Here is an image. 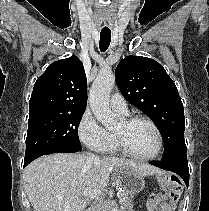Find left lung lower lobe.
I'll use <instances>...</instances> for the list:
<instances>
[{
  "label": "left lung lower lobe",
  "mask_w": 209,
  "mask_h": 211,
  "mask_svg": "<svg viewBox=\"0 0 209 211\" xmlns=\"http://www.w3.org/2000/svg\"><path fill=\"white\" fill-rule=\"evenodd\" d=\"M150 164L161 169L172 171L178 174L185 182L187 188L189 185V168L186 154L176 156L170 160L152 161Z\"/></svg>",
  "instance_id": "left-lung-lower-lobe-1"
}]
</instances>
